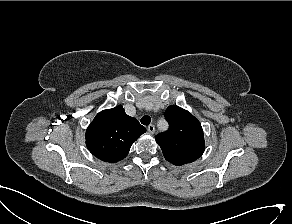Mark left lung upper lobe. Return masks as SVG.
I'll return each mask as SVG.
<instances>
[{
    "mask_svg": "<svg viewBox=\"0 0 292 224\" xmlns=\"http://www.w3.org/2000/svg\"><path fill=\"white\" fill-rule=\"evenodd\" d=\"M169 129L156 136L167 161L174 165L191 163L204 152L205 142L200 122L188 111L171 105L164 113Z\"/></svg>",
    "mask_w": 292,
    "mask_h": 224,
    "instance_id": "5c2ea615",
    "label": "left lung upper lobe"
}]
</instances>
